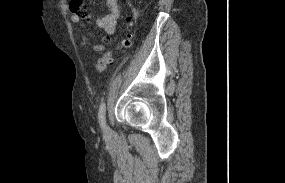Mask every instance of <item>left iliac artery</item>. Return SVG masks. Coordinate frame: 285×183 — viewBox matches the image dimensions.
Returning <instances> with one entry per match:
<instances>
[{"label":"left iliac artery","instance_id":"obj_1","mask_svg":"<svg viewBox=\"0 0 285 183\" xmlns=\"http://www.w3.org/2000/svg\"><path fill=\"white\" fill-rule=\"evenodd\" d=\"M106 103L102 102L100 107H99V111H98V119H99V123L102 127L105 126L106 123Z\"/></svg>","mask_w":285,"mask_h":183}]
</instances>
